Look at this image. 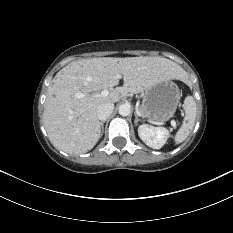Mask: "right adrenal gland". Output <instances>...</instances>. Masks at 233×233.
<instances>
[{"label": "right adrenal gland", "mask_w": 233, "mask_h": 233, "mask_svg": "<svg viewBox=\"0 0 233 233\" xmlns=\"http://www.w3.org/2000/svg\"><path fill=\"white\" fill-rule=\"evenodd\" d=\"M104 123H105V120L100 123V126H101V136H102V134L104 132Z\"/></svg>", "instance_id": "obj_1"}]
</instances>
